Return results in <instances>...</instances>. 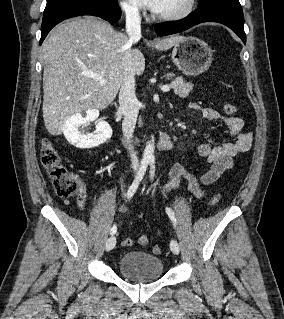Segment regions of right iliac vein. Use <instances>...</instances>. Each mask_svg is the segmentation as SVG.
Instances as JSON below:
<instances>
[{
    "label": "right iliac vein",
    "mask_w": 284,
    "mask_h": 319,
    "mask_svg": "<svg viewBox=\"0 0 284 319\" xmlns=\"http://www.w3.org/2000/svg\"><path fill=\"white\" fill-rule=\"evenodd\" d=\"M116 245V237L111 236L107 241L105 245L106 251H111Z\"/></svg>",
    "instance_id": "63e3f726"
}]
</instances>
